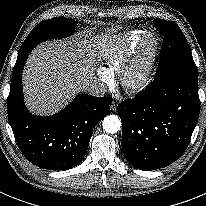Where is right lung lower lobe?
<instances>
[{"label":"right lung lower lobe","instance_id":"98d812e1","mask_svg":"<svg viewBox=\"0 0 206 206\" xmlns=\"http://www.w3.org/2000/svg\"><path fill=\"white\" fill-rule=\"evenodd\" d=\"M30 52L14 66L7 100L10 126L21 152L34 165L56 171L71 169L84 158L93 127L110 113V98L78 95L55 115L30 114L22 91V70Z\"/></svg>","mask_w":206,"mask_h":206}]
</instances>
